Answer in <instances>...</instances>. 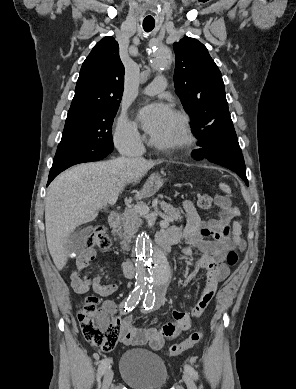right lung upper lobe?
I'll list each match as a JSON object with an SVG mask.
<instances>
[{"mask_svg": "<svg viewBox=\"0 0 296 389\" xmlns=\"http://www.w3.org/2000/svg\"><path fill=\"white\" fill-rule=\"evenodd\" d=\"M124 73L117 41L112 36L104 37L82 64L66 120L82 117L97 108L119 106Z\"/></svg>", "mask_w": 296, "mask_h": 389, "instance_id": "obj_1", "label": "right lung upper lobe"}]
</instances>
